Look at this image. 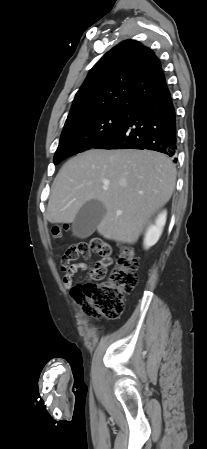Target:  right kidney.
<instances>
[{
  "label": "right kidney",
  "mask_w": 207,
  "mask_h": 449,
  "mask_svg": "<svg viewBox=\"0 0 207 449\" xmlns=\"http://www.w3.org/2000/svg\"><path fill=\"white\" fill-rule=\"evenodd\" d=\"M166 217H167V212L166 210L161 212L156 220L154 224H151L145 233V238H144V247L145 249L150 248L151 246L155 245L157 243V241L159 240L162 231H163V227L165 226L166 223Z\"/></svg>",
  "instance_id": "right-kidney-1"
}]
</instances>
